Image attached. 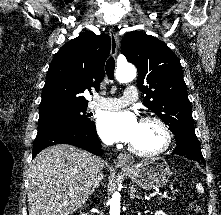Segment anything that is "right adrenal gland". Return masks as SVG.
Here are the masks:
<instances>
[{"mask_svg": "<svg viewBox=\"0 0 221 215\" xmlns=\"http://www.w3.org/2000/svg\"><path fill=\"white\" fill-rule=\"evenodd\" d=\"M102 178H103L102 174H99V176L95 179V182L93 184L92 190L90 191L89 195H91L96 188H99Z\"/></svg>", "mask_w": 221, "mask_h": 215, "instance_id": "obj_1", "label": "right adrenal gland"}]
</instances>
